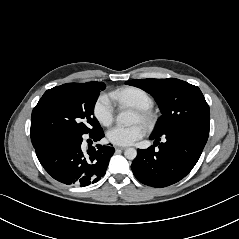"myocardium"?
I'll use <instances>...</instances> for the list:
<instances>
[{"label":"myocardium","mask_w":239,"mask_h":239,"mask_svg":"<svg viewBox=\"0 0 239 239\" xmlns=\"http://www.w3.org/2000/svg\"><path fill=\"white\" fill-rule=\"evenodd\" d=\"M137 113L141 118V122L144 123L147 127H151L154 124L155 118L150 110L137 109Z\"/></svg>","instance_id":"obj_1"}]
</instances>
